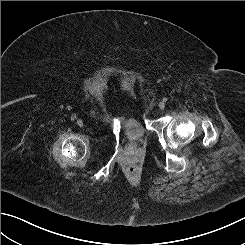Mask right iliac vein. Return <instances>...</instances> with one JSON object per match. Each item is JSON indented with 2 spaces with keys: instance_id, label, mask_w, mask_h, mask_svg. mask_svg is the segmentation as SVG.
<instances>
[{
  "instance_id": "right-iliac-vein-1",
  "label": "right iliac vein",
  "mask_w": 245,
  "mask_h": 245,
  "mask_svg": "<svg viewBox=\"0 0 245 245\" xmlns=\"http://www.w3.org/2000/svg\"><path fill=\"white\" fill-rule=\"evenodd\" d=\"M76 123H77V125H78V126H80V127H82V126H83V121H82V120H80V119H78Z\"/></svg>"
}]
</instances>
